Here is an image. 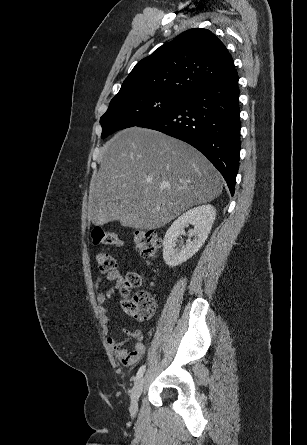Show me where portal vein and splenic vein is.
<instances>
[{
	"mask_svg": "<svg viewBox=\"0 0 307 445\" xmlns=\"http://www.w3.org/2000/svg\"><path fill=\"white\" fill-rule=\"evenodd\" d=\"M148 182H152V180H148Z\"/></svg>",
	"mask_w": 307,
	"mask_h": 445,
	"instance_id": "obj_1",
	"label": "portal vein and splenic vein"
}]
</instances>
